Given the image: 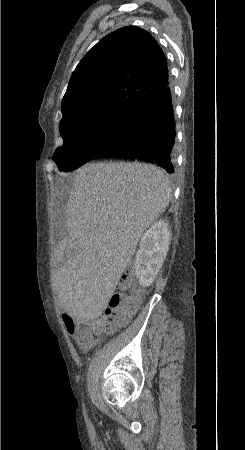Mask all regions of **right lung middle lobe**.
I'll return each mask as SVG.
<instances>
[{"label": "right lung middle lobe", "mask_w": 245, "mask_h": 450, "mask_svg": "<svg viewBox=\"0 0 245 450\" xmlns=\"http://www.w3.org/2000/svg\"><path fill=\"white\" fill-rule=\"evenodd\" d=\"M135 109L115 103H104L80 109L62 117L60 133L63 146L53 161L60 171H72L104 152L125 133Z\"/></svg>", "instance_id": "right-lung-middle-lobe-1"}]
</instances>
